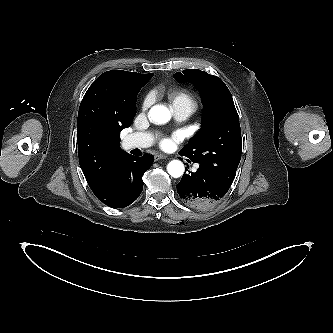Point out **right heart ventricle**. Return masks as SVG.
<instances>
[{"instance_id":"right-heart-ventricle-1","label":"right heart ventricle","mask_w":333,"mask_h":333,"mask_svg":"<svg viewBox=\"0 0 333 333\" xmlns=\"http://www.w3.org/2000/svg\"><path fill=\"white\" fill-rule=\"evenodd\" d=\"M170 101L172 103V106H190L195 108L196 107V101L191 93H189L186 90L180 89L172 91L169 94Z\"/></svg>"}]
</instances>
